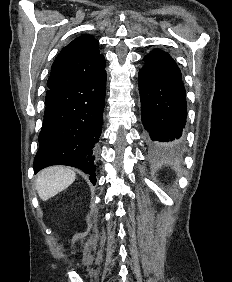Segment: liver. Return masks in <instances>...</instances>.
<instances>
[{
    "label": "liver",
    "mask_w": 232,
    "mask_h": 282,
    "mask_svg": "<svg viewBox=\"0 0 232 282\" xmlns=\"http://www.w3.org/2000/svg\"><path fill=\"white\" fill-rule=\"evenodd\" d=\"M75 179V172L68 167H48L37 174L36 189L38 195L40 199L46 201L68 188Z\"/></svg>",
    "instance_id": "6515ba94"
}]
</instances>
